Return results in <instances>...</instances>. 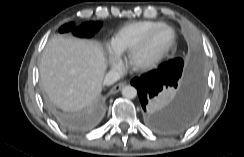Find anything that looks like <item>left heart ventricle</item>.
Masks as SVG:
<instances>
[{
	"label": "left heart ventricle",
	"mask_w": 244,
	"mask_h": 157,
	"mask_svg": "<svg viewBox=\"0 0 244 157\" xmlns=\"http://www.w3.org/2000/svg\"><path fill=\"white\" fill-rule=\"evenodd\" d=\"M173 33L170 29H161L155 33L144 50L140 55L142 61H146L154 57L158 52H160L165 46H167L171 39Z\"/></svg>",
	"instance_id": "1"
}]
</instances>
